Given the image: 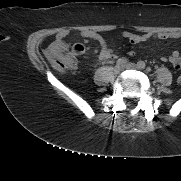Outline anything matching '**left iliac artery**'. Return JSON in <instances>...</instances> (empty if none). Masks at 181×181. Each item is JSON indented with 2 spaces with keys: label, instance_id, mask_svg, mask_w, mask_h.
Returning a JSON list of instances; mask_svg holds the SVG:
<instances>
[{
  "label": "left iliac artery",
  "instance_id": "left-iliac-artery-1",
  "mask_svg": "<svg viewBox=\"0 0 181 181\" xmlns=\"http://www.w3.org/2000/svg\"><path fill=\"white\" fill-rule=\"evenodd\" d=\"M137 66H138L139 68H141V69H144V68L146 67V64H145L144 61H139V62L137 63Z\"/></svg>",
  "mask_w": 181,
  "mask_h": 181
}]
</instances>
